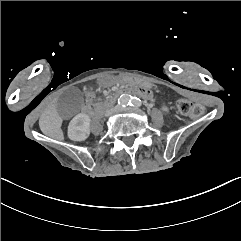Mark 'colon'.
Listing matches in <instances>:
<instances>
[{
    "mask_svg": "<svg viewBox=\"0 0 241 241\" xmlns=\"http://www.w3.org/2000/svg\"><path fill=\"white\" fill-rule=\"evenodd\" d=\"M180 113L189 117H201L204 114V107L201 104H192L187 100H180L177 103Z\"/></svg>",
    "mask_w": 241,
    "mask_h": 241,
    "instance_id": "obj_1",
    "label": "colon"
}]
</instances>
